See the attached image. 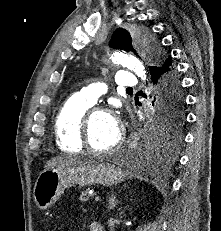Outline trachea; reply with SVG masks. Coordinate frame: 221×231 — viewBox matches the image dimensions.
Masks as SVG:
<instances>
[{"label": "trachea", "instance_id": "obj_1", "mask_svg": "<svg viewBox=\"0 0 221 231\" xmlns=\"http://www.w3.org/2000/svg\"><path fill=\"white\" fill-rule=\"evenodd\" d=\"M127 90H128V91H131V90H133V89H132V88H127Z\"/></svg>", "mask_w": 221, "mask_h": 231}]
</instances>
